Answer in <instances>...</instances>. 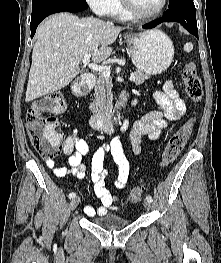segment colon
I'll use <instances>...</instances> for the list:
<instances>
[{"mask_svg": "<svg viewBox=\"0 0 221 263\" xmlns=\"http://www.w3.org/2000/svg\"><path fill=\"white\" fill-rule=\"evenodd\" d=\"M182 78L188 98L198 103L203 97L201 79L192 64L183 69ZM66 103L61 93H49L37 99L27 112V131L32 146L44 159L57 157L62 149L64 136L59 129L56 115L65 110ZM192 132V122L188 121L169 139L165 146L161 165L171 164L181 153ZM143 197V190L136 187L131 190L128 202L136 203Z\"/></svg>", "mask_w": 221, "mask_h": 263, "instance_id": "obj_1", "label": "colon"}]
</instances>
